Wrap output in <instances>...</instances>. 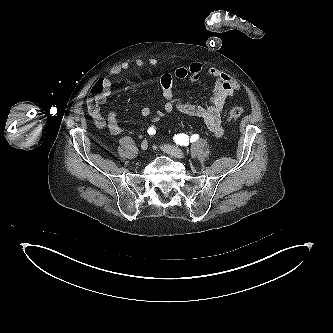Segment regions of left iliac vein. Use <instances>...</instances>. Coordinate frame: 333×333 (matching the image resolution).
I'll return each mask as SVG.
<instances>
[{"instance_id":"obj_1","label":"left iliac vein","mask_w":333,"mask_h":333,"mask_svg":"<svg viewBox=\"0 0 333 333\" xmlns=\"http://www.w3.org/2000/svg\"><path fill=\"white\" fill-rule=\"evenodd\" d=\"M161 149L169 154L172 157L178 158V159H183L185 158V153L178 147L172 146L169 144H164L162 145Z\"/></svg>"}]
</instances>
